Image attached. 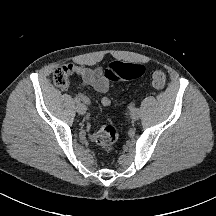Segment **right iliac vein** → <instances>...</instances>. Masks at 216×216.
Listing matches in <instances>:
<instances>
[{
  "label": "right iliac vein",
  "instance_id": "1",
  "mask_svg": "<svg viewBox=\"0 0 216 216\" xmlns=\"http://www.w3.org/2000/svg\"><path fill=\"white\" fill-rule=\"evenodd\" d=\"M76 109H77V112H78L79 114H81V115L85 114L86 111H87V108H86V106H85L83 103L77 104Z\"/></svg>",
  "mask_w": 216,
  "mask_h": 216
}]
</instances>
